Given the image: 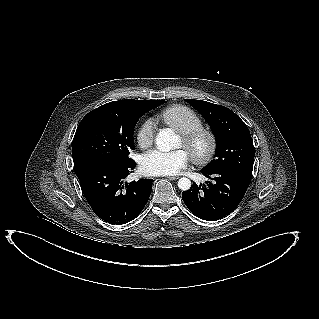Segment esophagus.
<instances>
[{
    "instance_id": "esophagus-1",
    "label": "esophagus",
    "mask_w": 319,
    "mask_h": 319,
    "mask_svg": "<svg viewBox=\"0 0 319 319\" xmlns=\"http://www.w3.org/2000/svg\"><path fill=\"white\" fill-rule=\"evenodd\" d=\"M169 180H176L179 178V176H168L167 177Z\"/></svg>"
}]
</instances>
